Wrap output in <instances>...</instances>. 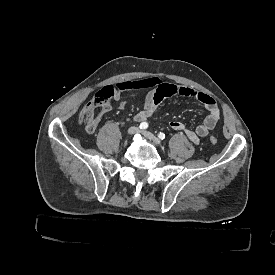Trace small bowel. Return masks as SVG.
<instances>
[{
    "mask_svg": "<svg viewBox=\"0 0 275 275\" xmlns=\"http://www.w3.org/2000/svg\"><path fill=\"white\" fill-rule=\"evenodd\" d=\"M122 84H124L125 87L115 94V99H120V92L122 91H148L144 98L143 108L134 116L136 122L142 123L147 121L154 114L158 105L165 98L173 95L183 98H195L202 103L207 110V115L204 120L194 129H189L184 122L179 120H171L168 124L171 130L185 133L188 139L193 143L198 144L200 139L206 137L219 122V106L215 99L207 93L195 91L187 86H176L164 83L160 78L154 76L136 81L124 82ZM125 106L126 101L121 100L118 106L119 109H124Z\"/></svg>",
    "mask_w": 275,
    "mask_h": 275,
    "instance_id": "c3829d8e",
    "label": "small bowel"
}]
</instances>
